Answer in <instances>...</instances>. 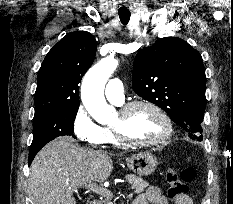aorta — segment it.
Listing matches in <instances>:
<instances>
[{"label":"aorta","mask_w":233,"mask_h":204,"mask_svg":"<svg viewBox=\"0 0 233 204\" xmlns=\"http://www.w3.org/2000/svg\"><path fill=\"white\" fill-rule=\"evenodd\" d=\"M117 66V60L106 57L92 66L82 81V102L92 118L100 124L109 123L116 113L115 108L105 100L104 87Z\"/></svg>","instance_id":"obj_1"}]
</instances>
